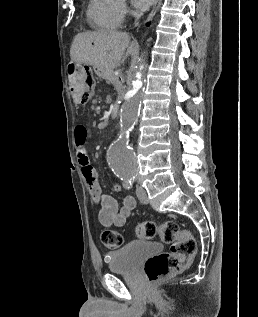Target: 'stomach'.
Here are the masks:
<instances>
[{"label": "stomach", "instance_id": "0dacf381", "mask_svg": "<svg viewBox=\"0 0 258 317\" xmlns=\"http://www.w3.org/2000/svg\"><path fill=\"white\" fill-rule=\"evenodd\" d=\"M73 66L75 68V70H84V68H86V66H88V64H76V62H73Z\"/></svg>", "mask_w": 258, "mask_h": 317}]
</instances>
